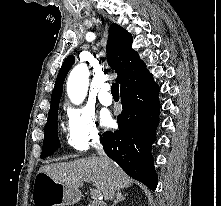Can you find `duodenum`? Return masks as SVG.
Wrapping results in <instances>:
<instances>
[{
    "label": "duodenum",
    "mask_w": 221,
    "mask_h": 206,
    "mask_svg": "<svg viewBox=\"0 0 221 206\" xmlns=\"http://www.w3.org/2000/svg\"><path fill=\"white\" fill-rule=\"evenodd\" d=\"M89 206H106V205L98 200L92 199L90 200Z\"/></svg>",
    "instance_id": "duodenum-1"
}]
</instances>
